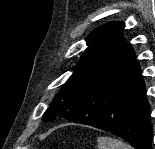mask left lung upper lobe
<instances>
[{
	"label": "left lung upper lobe",
	"instance_id": "obj_1",
	"mask_svg": "<svg viewBox=\"0 0 155 149\" xmlns=\"http://www.w3.org/2000/svg\"><path fill=\"white\" fill-rule=\"evenodd\" d=\"M123 28V22H109L89 34L86 39L89 48L65 86L55 95L43 115V121L65 119L78 98L113 65L124 44Z\"/></svg>",
	"mask_w": 155,
	"mask_h": 149
}]
</instances>
